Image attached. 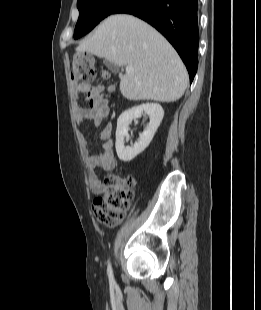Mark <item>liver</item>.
<instances>
[{
	"label": "liver",
	"mask_w": 261,
	"mask_h": 310,
	"mask_svg": "<svg viewBox=\"0 0 261 310\" xmlns=\"http://www.w3.org/2000/svg\"><path fill=\"white\" fill-rule=\"evenodd\" d=\"M118 66H131L120 73V91L129 100L174 102L188 85V73L177 52L153 27L127 14L106 18L76 48Z\"/></svg>",
	"instance_id": "obj_1"
}]
</instances>
